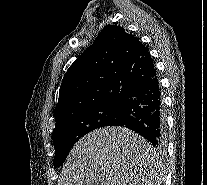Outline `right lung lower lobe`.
Returning a JSON list of instances; mask_svg holds the SVG:
<instances>
[{
    "label": "right lung lower lobe",
    "mask_w": 207,
    "mask_h": 185,
    "mask_svg": "<svg viewBox=\"0 0 207 185\" xmlns=\"http://www.w3.org/2000/svg\"><path fill=\"white\" fill-rule=\"evenodd\" d=\"M105 126L129 128L163 150L166 121L158 77L130 92L121 103L116 119Z\"/></svg>",
    "instance_id": "right-lung-lower-lobe-1"
}]
</instances>
